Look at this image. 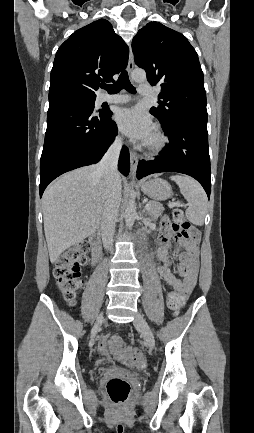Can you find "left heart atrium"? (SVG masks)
<instances>
[{
  "mask_svg": "<svg viewBox=\"0 0 254 433\" xmlns=\"http://www.w3.org/2000/svg\"><path fill=\"white\" fill-rule=\"evenodd\" d=\"M116 121L121 130L133 139L147 141L153 133L151 119L138 107L121 109Z\"/></svg>",
  "mask_w": 254,
  "mask_h": 433,
  "instance_id": "obj_1",
  "label": "left heart atrium"
}]
</instances>
